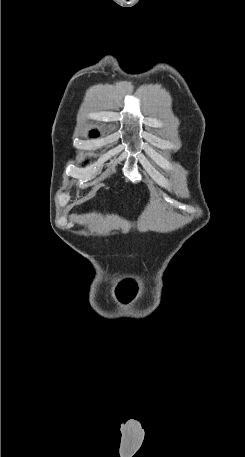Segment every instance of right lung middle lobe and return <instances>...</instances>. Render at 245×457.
I'll return each mask as SVG.
<instances>
[{
    "label": "right lung middle lobe",
    "mask_w": 245,
    "mask_h": 457,
    "mask_svg": "<svg viewBox=\"0 0 245 457\" xmlns=\"http://www.w3.org/2000/svg\"><path fill=\"white\" fill-rule=\"evenodd\" d=\"M98 134H99V133L96 132V131H92V132H91V135H92V136H98Z\"/></svg>",
    "instance_id": "obj_1"
}]
</instances>
